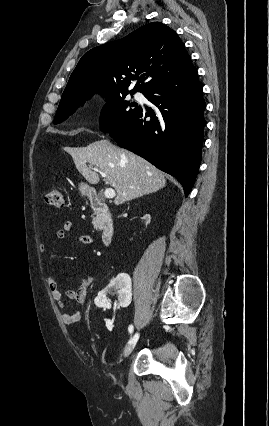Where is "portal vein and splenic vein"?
<instances>
[{"mask_svg":"<svg viewBox=\"0 0 269 426\" xmlns=\"http://www.w3.org/2000/svg\"><path fill=\"white\" fill-rule=\"evenodd\" d=\"M93 170L96 171V172H99L104 178H107L106 174L103 171L99 170L98 168H93ZM115 195H116V193H115V190L113 188H106L105 189L104 196L107 199H112V198L115 197Z\"/></svg>","mask_w":269,"mask_h":426,"instance_id":"portal-vein-and-splenic-vein-1","label":"portal vein and splenic vein"}]
</instances>
